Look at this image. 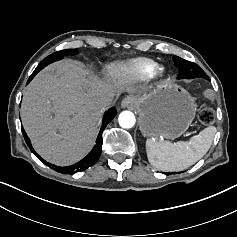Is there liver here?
Masks as SVG:
<instances>
[{
  "label": "liver",
  "mask_w": 237,
  "mask_h": 237,
  "mask_svg": "<svg viewBox=\"0 0 237 237\" xmlns=\"http://www.w3.org/2000/svg\"><path fill=\"white\" fill-rule=\"evenodd\" d=\"M131 82L110 84L80 62L62 60L40 71L23 94L21 119L35 151L68 166L92 146L103 108L102 95L135 92Z\"/></svg>",
  "instance_id": "1"
}]
</instances>
